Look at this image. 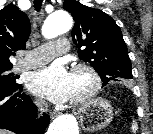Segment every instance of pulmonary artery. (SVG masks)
Returning <instances> with one entry per match:
<instances>
[{
	"mask_svg": "<svg viewBox=\"0 0 153 134\" xmlns=\"http://www.w3.org/2000/svg\"><path fill=\"white\" fill-rule=\"evenodd\" d=\"M69 50V41L59 38L55 42L43 44L36 49L26 52L24 57L15 65L16 71L28 70L48 63L58 55Z\"/></svg>",
	"mask_w": 153,
	"mask_h": 134,
	"instance_id": "pulmonary-artery-1",
	"label": "pulmonary artery"
}]
</instances>
